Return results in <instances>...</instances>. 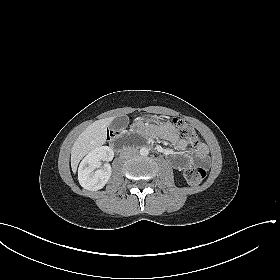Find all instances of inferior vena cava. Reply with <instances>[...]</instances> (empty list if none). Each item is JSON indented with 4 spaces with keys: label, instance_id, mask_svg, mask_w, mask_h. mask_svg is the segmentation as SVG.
<instances>
[{
    "label": "inferior vena cava",
    "instance_id": "inferior-vena-cava-1",
    "mask_svg": "<svg viewBox=\"0 0 280 280\" xmlns=\"http://www.w3.org/2000/svg\"><path fill=\"white\" fill-rule=\"evenodd\" d=\"M138 153L137 149L132 147H126L122 150L121 156L122 158H130Z\"/></svg>",
    "mask_w": 280,
    "mask_h": 280
}]
</instances>
